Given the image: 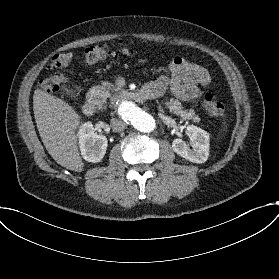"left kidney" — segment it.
Instances as JSON below:
<instances>
[{"mask_svg": "<svg viewBox=\"0 0 279 279\" xmlns=\"http://www.w3.org/2000/svg\"><path fill=\"white\" fill-rule=\"evenodd\" d=\"M185 135L190 138V145L193 146V150L184 143L183 139L175 138L172 141L173 151L192 163H205L209 157L210 139L208 133L193 125H188L185 129Z\"/></svg>", "mask_w": 279, "mask_h": 279, "instance_id": "obj_1", "label": "left kidney"}]
</instances>
